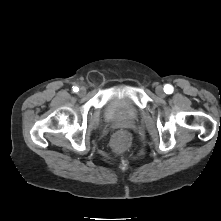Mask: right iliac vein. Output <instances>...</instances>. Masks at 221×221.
Returning a JSON list of instances; mask_svg holds the SVG:
<instances>
[{
    "label": "right iliac vein",
    "mask_w": 221,
    "mask_h": 221,
    "mask_svg": "<svg viewBox=\"0 0 221 221\" xmlns=\"http://www.w3.org/2000/svg\"><path fill=\"white\" fill-rule=\"evenodd\" d=\"M78 94L80 96H84L86 94V89L84 87H81Z\"/></svg>",
    "instance_id": "right-iliac-vein-1"
}]
</instances>
